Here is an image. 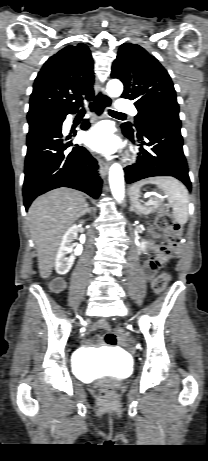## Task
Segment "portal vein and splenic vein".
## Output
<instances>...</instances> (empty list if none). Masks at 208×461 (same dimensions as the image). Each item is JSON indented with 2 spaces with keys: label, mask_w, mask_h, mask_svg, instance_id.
<instances>
[{
  "label": "portal vein and splenic vein",
  "mask_w": 208,
  "mask_h": 461,
  "mask_svg": "<svg viewBox=\"0 0 208 461\" xmlns=\"http://www.w3.org/2000/svg\"><path fill=\"white\" fill-rule=\"evenodd\" d=\"M159 202L156 201V200H153L152 198H150L147 202H146V205H154V204H158Z\"/></svg>",
  "instance_id": "portal-vein-and-splenic-vein-1"
}]
</instances>
